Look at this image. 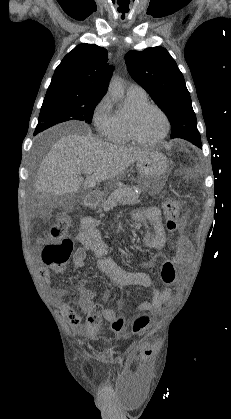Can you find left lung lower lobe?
Here are the masks:
<instances>
[{
	"label": "left lung lower lobe",
	"instance_id": "left-lung-lower-lobe-1",
	"mask_svg": "<svg viewBox=\"0 0 231 419\" xmlns=\"http://www.w3.org/2000/svg\"><path fill=\"white\" fill-rule=\"evenodd\" d=\"M190 142H192V143H193V144H195L196 146H198V147L202 148V145H201V141H200V140H197V141H190Z\"/></svg>",
	"mask_w": 231,
	"mask_h": 419
}]
</instances>
